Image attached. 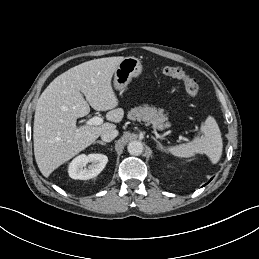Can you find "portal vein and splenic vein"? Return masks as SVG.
<instances>
[{
  "mask_svg": "<svg viewBox=\"0 0 259 259\" xmlns=\"http://www.w3.org/2000/svg\"><path fill=\"white\" fill-rule=\"evenodd\" d=\"M103 123V119L99 116H94L93 118L86 121V125H101Z\"/></svg>",
  "mask_w": 259,
  "mask_h": 259,
  "instance_id": "portal-vein-and-splenic-vein-1",
  "label": "portal vein and splenic vein"
}]
</instances>
